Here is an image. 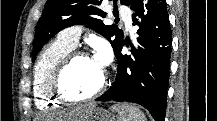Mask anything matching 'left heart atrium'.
<instances>
[{
    "label": "left heart atrium",
    "mask_w": 217,
    "mask_h": 121,
    "mask_svg": "<svg viewBox=\"0 0 217 121\" xmlns=\"http://www.w3.org/2000/svg\"><path fill=\"white\" fill-rule=\"evenodd\" d=\"M108 54L105 51H99L97 58L95 60L104 68L107 62Z\"/></svg>",
    "instance_id": "39dd6f15"
}]
</instances>
